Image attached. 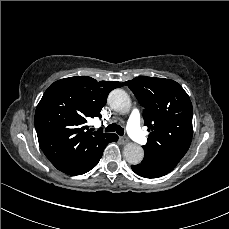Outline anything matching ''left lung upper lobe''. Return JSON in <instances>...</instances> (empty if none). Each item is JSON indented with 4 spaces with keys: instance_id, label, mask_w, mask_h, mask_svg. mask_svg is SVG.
I'll use <instances>...</instances> for the list:
<instances>
[{
    "instance_id": "1",
    "label": "left lung upper lobe",
    "mask_w": 229,
    "mask_h": 229,
    "mask_svg": "<svg viewBox=\"0 0 229 229\" xmlns=\"http://www.w3.org/2000/svg\"><path fill=\"white\" fill-rule=\"evenodd\" d=\"M140 104L144 125L151 131L143 146V163L166 175L186 154L192 140L193 108L188 94L173 80L137 77L124 82Z\"/></svg>"
}]
</instances>
